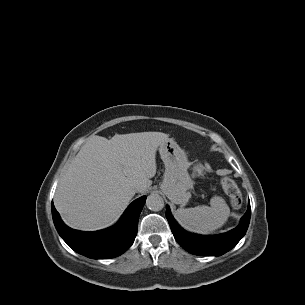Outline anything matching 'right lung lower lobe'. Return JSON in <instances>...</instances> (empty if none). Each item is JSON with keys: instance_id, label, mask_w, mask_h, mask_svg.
I'll use <instances>...</instances> for the list:
<instances>
[{"instance_id": "98d812e1", "label": "right lung lower lobe", "mask_w": 305, "mask_h": 305, "mask_svg": "<svg viewBox=\"0 0 305 305\" xmlns=\"http://www.w3.org/2000/svg\"><path fill=\"white\" fill-rule=\"evenodd\" d=\"M143 196L131 203L119 223L111 228L83 232L69 228L61 220L52 202V217L62 239L77 253L92 259L114 258L124 253L134 242L139 214L145 204Z\"/></svg>"}]
</instances>
